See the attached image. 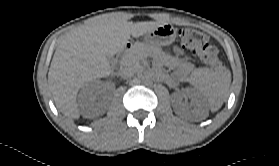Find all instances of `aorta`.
Returning a JSON list of instances; mask_svg holds the SVG:
<instances>
[{
  "label": "aorta",
  "instance_id": "1",
  "mask_svg": "<svg viewBox=\"0 0 279 166\" xmlns=\"http://www.w3.org/2000/svg\"><path fill=\"white\" fill-rule=\"evenodd\" d=\"M153 81H154V77H153V75L150 74V73H146V74H144V75L142 76V82H143L144 84H152Z\"/></svg>",
  "mask_w": 279,
  "mask_h": 166
}]
</instances>
